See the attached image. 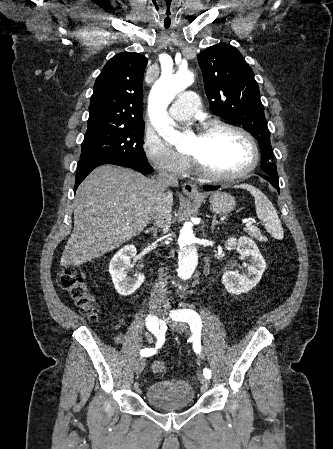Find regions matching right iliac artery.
I'll return each mask as SVG.
<instances>
[{"mask_svg":"<svg viewBox=\"0 0 333 449\" xmlns=\"http://www.w3.org/2000/svg\"><path fill=\"white\" fill-rule=\"evenodd\" d=\"M162 322L158 320L157 317L149 315L146 319V325L148 330L154 334V336L158 337V342L156 344L155 349L153 348H145L142 349L140 351V354L142 356H151L153 354H155L157 352V349L161 347L162 343H163V333H164V329H163V325L161 324ZM160 325V328H159Z\"/></svg>","mask_w":333,"mask_h":449,"instance_id":"right-iliac-artery-1","label":"right iliac artery"}]
</instances>
